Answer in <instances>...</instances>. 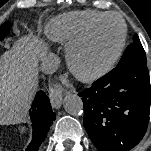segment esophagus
<instances>
[{
    "label": "esophagus",
    "instance_id": "1",
    "mask_svg": "<svg viewBox=\"0 0 151 151\" xmlns=\"http://www.w3.org/2000/svg\"><path fill=\"white\" fill-rule=\"evenodd\" d=\"M49 98H50L51 104L54 108L58 109L61 107L62 94L58 89L51 88L49 91Z\"/></svg>",
    "mask_w": 151,
    "mask_h": 151
}]
</instances>
